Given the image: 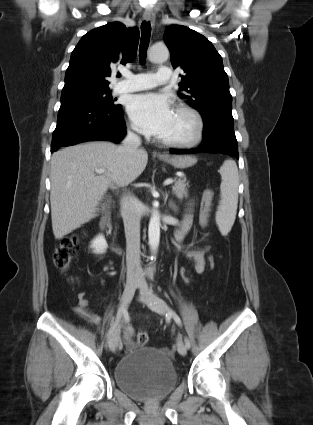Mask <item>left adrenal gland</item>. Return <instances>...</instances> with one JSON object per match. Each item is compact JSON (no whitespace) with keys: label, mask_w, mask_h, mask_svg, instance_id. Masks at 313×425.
<instances>
[{"label":"left adrenal gland","mask_w":313,"mask_h":425,"mask_svg":"<svg viewBox=\"0 0 313 425\" xmlns=\"http://www.w3.org/2000/svg\"><path fill=\"white\" fill-rule=\"evenodd\" d=\"M169 208L174 212V214L178 212V207L172 200L169 201Z\"/></svg>","instance_id":"a2214340"}]
</instances>
